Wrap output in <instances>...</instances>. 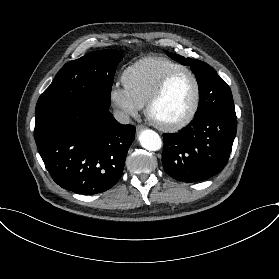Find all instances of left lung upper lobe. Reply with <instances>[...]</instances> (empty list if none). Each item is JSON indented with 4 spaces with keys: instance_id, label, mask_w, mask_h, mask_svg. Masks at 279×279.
I'll return each instance as SVG.
<instances>
[{
    "instance_id": "obj_1",
    "label": "left lung upper lobe",
    "mask_w": 279,
    "mask_h": 279,
    "mask_svg": "<svg viewBox=\"0 0 279 279\" xmlns=\"http://www.w3.org/2000/svg\"><path fill=\"white\" fill-rule=\"evenodd\" d=\"M166 53L177 62L190 66L196 75L199 85V107L195 117L202 116L207 112H219L236 116L230 87L207 63L169 52Z\"/></svg>"
}]
</instances>
